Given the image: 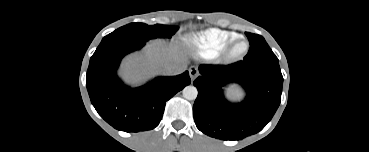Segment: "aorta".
Wrapping results in <instances>:
<instances>
[{
    "instance_id": "aorta-1",
    "label": "aorta",
    "mask_w": 369,
    "mask_h": 152,
    "mask_svg": "<svg viewBox=\"0 0 369 152\" xmlns=\"http://www.w3.org/2000/svg\"><path fill=\"white\" fill-rule=\"evenodd\" d=\"M183 97L187 100H195L197 98L198 95V90L195 86L193 85H189L186 86L183 91Z\"/></svg>"
}]
</instances>
